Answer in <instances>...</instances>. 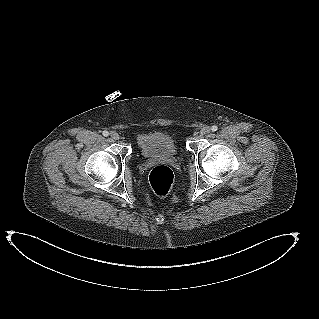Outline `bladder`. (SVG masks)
<instances>
[{"instance_id": "31cf9c89", "label": "bladder", "mask_w": 319, "mask_h": 319, "mask_svg": "<svg viewBox=\"0 0 319 319\" xmlns=\"http://www.w3.org/2000/svg\"><path fill=\"white\" fill-rule=\"evenodd\" d=\"M137 148L146 159L176 158L178 148L173 137L164 132L141 134L137 138Z\"/></svg>"}]
</instances>
